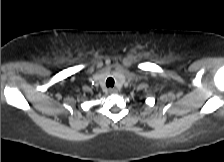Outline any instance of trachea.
<instances>
[{"instance_id": "3493384b", "label": "trachea", "mask_w": 224, "mask_h": 162, "mask_svg": "<svg viewBox=\"0 0 224 162\" xmlns=\"http://www.w3.org/2000/svg\"><path fill=\"white\" fill-rule=\"evenodd\" d=\"M114 79L113 78H108L107 80H106V86L107 87H113L114 86Z\"/></svg>"}]
</instances>
